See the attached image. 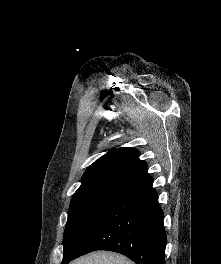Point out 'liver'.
Segmentation results:
<instances>
[{"instance_id": "obj_1", "label": "liver", "mask_w": 221, "mask_h": 264, "mask_svg": "<svg viewBox=\"0 0 221 264\" xmlns=\"http://www.w3.org/2000/svg\"><path fill=\"white\" fill-rule=\"evenodd\" d=\"M70 264H134L127 257L112 252H95L78 258Z\"/></svg>"}]
</instances>
